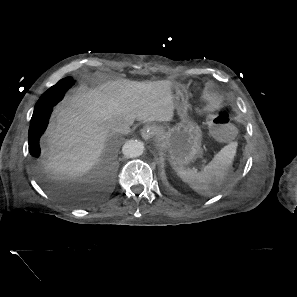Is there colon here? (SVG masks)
<instances>
[{"label": "colon", "mask_w": 297, "mask_h": 297, "mask_svg": "<svg viewBox=\"0 0 297 297\" xmlns=\"http://www.w3.org/2000/svg\"><path fill=\"white\" fill-rule=\"evenodd\" d=\"M209 125L213 135L220 140H229L235 133V127L231 124L226 110L210 115Z\"/></svg>", "instance_id": "obj_1"}]
</instances>
